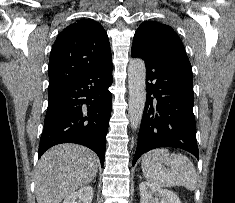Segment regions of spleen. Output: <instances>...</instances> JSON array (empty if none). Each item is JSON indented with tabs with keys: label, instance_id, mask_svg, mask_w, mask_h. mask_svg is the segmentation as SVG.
I'll list each match as a JSON object with an SVG mask.
<instances>
[{
	"label": "spleen",
	"instance_id": "3e777b00",
	"mask_svg": "<svg viewBox=\"0 0 235 203\" xmlns=\"http://www.w3.org/2000/svg\"><path fill=\"white\" fill-rule=\"evenodd\" d=\"M142 172L148 182L158 187L184 186L193 191L197 186L193 163L181 153L170 155L165 148L152 150L142 157Z\"/></svg>",
	"mask_w": 235,
	"mask_h": 203
}]
</instances>
